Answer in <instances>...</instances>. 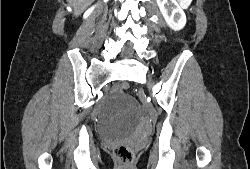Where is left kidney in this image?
Returning <instances> with one entry per match:
<instances>
[{"instance_id": "left-kidney-1", "label": "left kidney", "mask_w": 250, "mask_h": 169, "mask_svg": "<svg viewBox=\"0 0 250 169\" xmlns=\"http://www.w3.org/2000/svg\"><path fill=\"white\" fill-rule=\"evenodd\" d=\"M167 24L173 30H180L186 24V14L177 0H156Z\"/></svg>"}]
</instances>
